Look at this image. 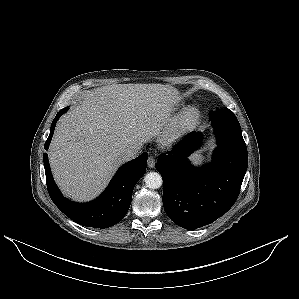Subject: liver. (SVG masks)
<instances>
[{
    "label": "liver",
    "instance_id": "1",
    "mask_svg": "<svg viewBox=\"0 0 299 299\" xmlns=\"http://www.w3.org/2000/svg\"><path fill=\"white\" fill-rule=\"evenodd\" d=\"M180 99L162 84H117L89 91L58 122L49 161L62 192L77 201L95 198L123 163L131 145L151 141Z\"/></svg>",
    "mask_w": 299,
    "mask_h": 299
}]
</instances>
